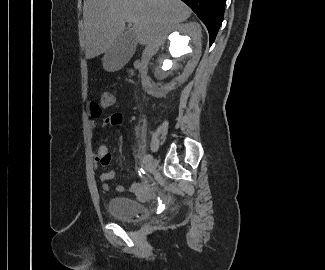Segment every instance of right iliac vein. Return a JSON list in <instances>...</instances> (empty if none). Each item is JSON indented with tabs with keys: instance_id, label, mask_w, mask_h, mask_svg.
I'll return each instance as SVG.
<instances>
[{
	"instance_id": "obj_1",
	"label": "right iliac vein",
	"mask_w": 325,
	"mask_h": 270,
	"mask_svg": "<svg viewBox=\"0 0 325 270\" xmlns=\"http://www.w3.org/2000/svg\"><path fill=\"white\" fill-rule=\"evenodd\" d=\"M145 165L148 169L155 170L157 162L153 157H151V159L147 163H145Z\"/></svg>"
}]
</instances>
